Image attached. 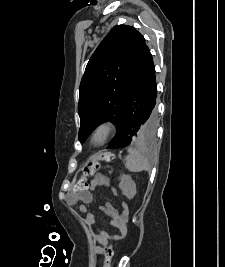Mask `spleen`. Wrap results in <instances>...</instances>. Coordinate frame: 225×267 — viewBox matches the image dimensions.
Listing matches in <instances>:
<instances>
[{
	"label": "spleen",
	"mask_w": 225,
	"mask_h": 267,
	"mask_svg": "<svg viewBox=\"0 0 225 267\" xmlns=\"http://www.w3.org/2000/svg\"><path fill=\"white\" fill-rule=\"evenodd\" d=\"M125 167L130 172H149L151 167L147 159L136 149L129 148L126 156Z\"/></svg>",
	"instance_id": "1"
}]
</instances>
